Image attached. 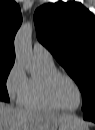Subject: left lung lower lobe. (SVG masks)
<instances>
[{
    "instance_id": "obj_1",
    "label": "left lung lower lobe",
    "mask_w": 95,
    "mask_h": 130,
    "mask_svg": "<svg viewBox=\"0 0 95 130\" xmlns=\"http://www.w3.org/2000/svg\"><path fill=\"white\" fill-rule=\"evenodd\" d=\"M84 119L95 122V109L84 111Z\"/></svg>"
}]
</instances>
